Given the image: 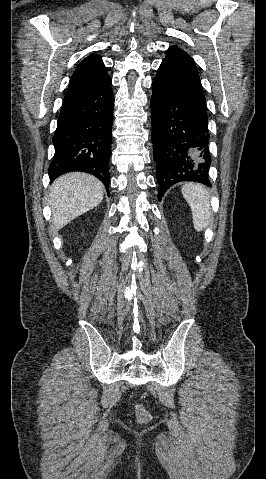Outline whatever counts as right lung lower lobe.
I'll use <instances>...</instances> for the list:
<instances>
[{
    "mask_svg": "<svg viewBox=\"0 0 266 479\" xmlns=\"http://www.w3.org/2000/svg\"><path fill=\"white\" fill-rule=\"evenodd\" d=\"M108 74L71 82L64 97L53 137L55 154L48 174L83 171L99 178L109 194V160L114 96Z\"/></svg>",
    "mask_w": 266,
    "mask_h": 479,
    "instance_id": "obj_1",
    "label": "right lung lower lobe"
}]
</instances>
